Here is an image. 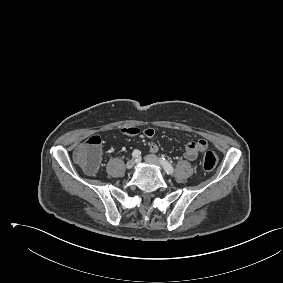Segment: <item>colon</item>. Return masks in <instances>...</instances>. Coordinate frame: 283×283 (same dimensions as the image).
<instances>
[{
    "label": "colon",
    "instance_id": "5ec220e1",
    "mask_svg": "<svg viewBox=\"0 0 283 283\" xmlns=\"http://www.w3.org/2000/svg\"><path fill=\"white\" fill-rule=\"evenodd\" d=\"M101 138L97 135L89 137L74 152V158L87 172L95 173L99 168L101 151ZM218 163L217 155L207 151L202 158V166L205 170H213Z\"/></svg>",
    "mask_w": 283,
    "mask_h": 283
}]
</instances>
